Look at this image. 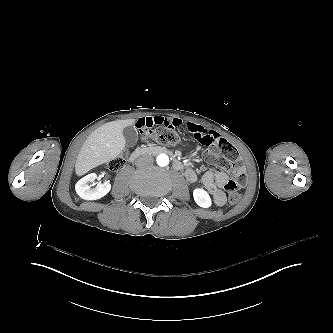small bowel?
I'll use <instances>...</instances> for the list:
<instances>
[{
    "mask_svg": "<svg viewBox=\"0 0 333 333\" xmlns=\"http://www.w3.org/2000/svg\"><path fill=\"white\" fill-rule=\"evenodd\" d=\"M180 124L181 120L178 118L167 119L161 116L144 117L136 122V126L139 129H146L160 125L166 127H177ZM188 127L196 134L207 133L202 127L194 124H189ZM207 134L215 135L212 132H209ZM212 152L213 151H209V154H211ZM185 177L189 182H196L198 180L197 173L191 168H188L185 171ZM229 179L230 178L228 173H226L225 171H219L214 169L206 171L200 179L205 189L211 195L214 204L217 206H223L226 203V195L224 189Z\"/></svg>",
    "mask_w": 333,
    "mask_h": 333,
    "instance_id": "obj_1",
    "label": "small bowel"
}]
</instances>
